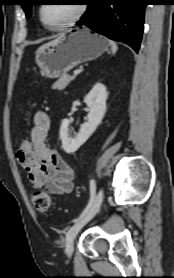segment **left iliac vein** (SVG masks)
I'll use <instances>...</instances> for the list:
<instances>
[{"mask_svg":"<svg viewBox=\"0 0 174 278\" xmlns=\"http://www.w3.org/2000/svg\"><path fill=\"white\" fill-rule=\"evenodd\" d=\"M102 201H103V189H100L97 195L95 196L94 201L91 207L89 208V210L87 211V213L68 230L66 234V241H65L66 244L65 252L68 257L72 256L73 243L78 232L82 229L84 225H86L96 215V213L100 209Z\"/></svg>","mask_w":174,"mask_h":278,"instance_id":"left-iliac-vein-1","label":"left iliac vein"}]
</instances>
